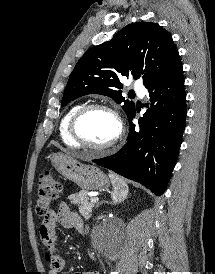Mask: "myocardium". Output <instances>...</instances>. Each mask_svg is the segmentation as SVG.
Masks as SVG:
<instances>
[{
    "mask_svg": "<svg viewBox=\"0 0 215 274\" xmlns=\"http://www.w3.org/2000/svg\"><path fill=\"white\" fill-rule=\"evenodd\" d=\"M92 110L106 111V112L110 113L115 118V120L117 122V126H118L117 134L110 142H108L106 144H103V145L91 144L90 142L85 140L82 137V135L80 134L79 123H80L81 119L88 112H90ZM69 131H70L71 137L80 146L87 148L89 150L95 151V152L103 153V152H106V151L112 149L121 141V139L123 138V135H124V124H123V121H122V118H121L119 112L115 108H113L107 104H103V103H90V104L82 105L75 112V114L73 115V117L70 121Z\"/></svg>",
    "mask_w": 215,
    "mask_h": 274,
    "instance_id": "myocardium-1",
    "label": "myocardium"
}]
</instances>
